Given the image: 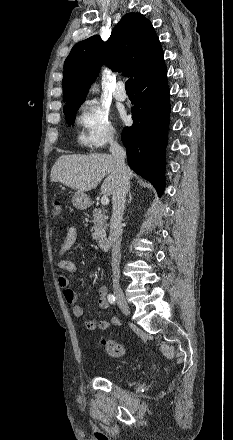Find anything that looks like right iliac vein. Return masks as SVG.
Wrapping results in <instances>:
<instances>
[{"label":"right iliac vein","mask_w":233,"mask_h":440,"mask_svg":"<svg viewBox=\"0 0 233 440\" xmlns=\"http://www.w3.org/2000/svg\"><path fill=\"white\" fill-rule=\"evenodd\" d=\"M114 295L116 297L117 303H118L119 307L121 308V310L125 314H129L130 313L129 305L125 299V296H124L121 288L118 285L114 286Z\"/></svg>","instance_id":"obj_1"}]
</instances>
